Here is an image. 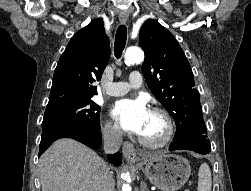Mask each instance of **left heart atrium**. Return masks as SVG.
<instances>
[{
  "instance_id": "left-heart-atrium-1",
  "label": "left heart atrium",
  "mask_w": 251,
  "mask_h": 191,
  "mask_svg": "<svg viewBox=\"0 0 251 191\" xmlns=\"http://www.w3.org/2000/svg\"><path fill=\"white\" fill-rule=\"evenodd\" d=\"M110 114L121 130L141 134L151 112L141 100L121 99L111 107Z\"/></svg>"
}]
</instances>
